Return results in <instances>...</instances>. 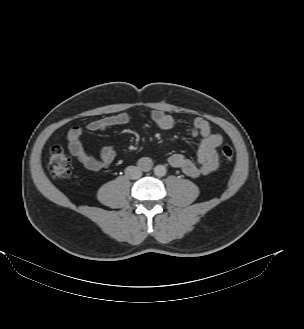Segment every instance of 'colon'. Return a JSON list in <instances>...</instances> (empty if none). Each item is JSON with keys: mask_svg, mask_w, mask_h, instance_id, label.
<instances>
[{"mask_svg": "<svg viewBox=\"0 0 304 329\" xmlns=\"http://www.w3.org/2000/svg\"><path fill=\"white\" fill-rule=\"evenodd\" d=\"M221 155L225 160H232L234 157L233 148L225 144L221 147ZM71 158L61 146H54L50 151L48 169L54 179H65L71 174Z\"/></svg>", "mask_w": 304, "mask_h": 329, "instance_id": "obj_1", "label": "colon"}]
</instances>
